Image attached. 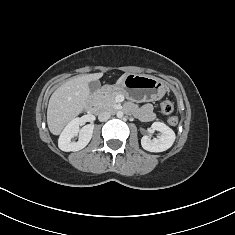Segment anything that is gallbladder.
Segmentation results:
<instances>
[{"label": "gallbladder", "instance_id": "1", "mask_svg": "<svg viewBox=\"0 0 235 235\" xmlns=\"http://www.w3.org/2000/svg\"><path fill=\"white\" fill-rule=\"evenodd\" d=\"M88 86L91 92H95L100 88V82L97 80L91 81L89 82Z\"/></svg>", "mask_w": 235, "mask_h": 235}]
</instances>
